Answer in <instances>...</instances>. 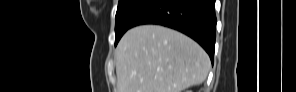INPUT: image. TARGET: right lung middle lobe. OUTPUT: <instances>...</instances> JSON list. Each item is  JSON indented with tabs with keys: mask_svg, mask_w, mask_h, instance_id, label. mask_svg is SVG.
<instances>
[{
	"mask_svg": "<svg viewBox=\"0 0 296 92\" xmlns=\"http://www.w3.org/2000/svg\"><path fill=\"white\" fill-rule=\"evenodd\" d=\"M154 0H119L115 17V45L122 35L132 27L134 20Z\"/></svg>",
	"mask_w": 296,
	"mask_h": 92,
	"instance_id": "dd1d6c3e",
	"label": "right lung middle lobe"
}]
</instances>
